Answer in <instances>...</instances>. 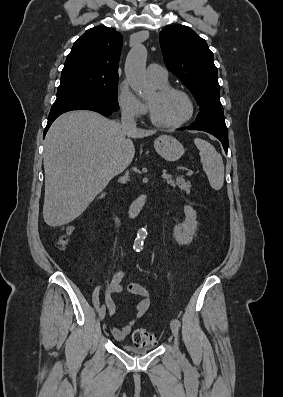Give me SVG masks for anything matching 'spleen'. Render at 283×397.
<instances>
[{"instance_id": "obj_1", "label": "spleen", "mask_w": 283, "mask_h": 397, "mask_svg": "<svg viewBox=\"0 0 283 397\" xmlns=\"http://www.w3.org/2000/svg\"><path fill=\"white\" fill-rule=\"evenodd\" d=\"M194 143L199 150L203 170L210 186L214 190H220L224 183V164L221 155L206 140L195 138Z\"/></svg>"}]
</instances>
